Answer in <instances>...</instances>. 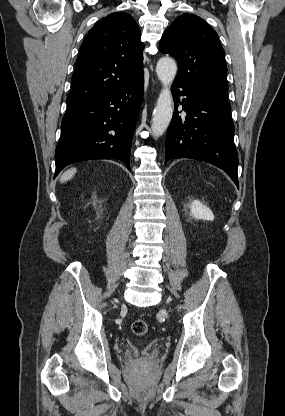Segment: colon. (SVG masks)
Listing matches in <instances>:
<instances>
[{"label": "colon", "instance_id": "colon-1", "mask_svg": "<svg viewBox=\"0 0 285 416\" xmlns=\"http://www.w3.org/2000/svg\"><path fill=\"white\" fill-rule=\"evenodd\" d=\"M131 331L137 336H143L148 331V324L142 319H137L131 324Z\"/></svg>", "mask_w": 285, "mask_h": 416}]
</instances>
